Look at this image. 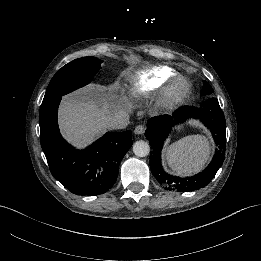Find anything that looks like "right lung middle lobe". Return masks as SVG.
<instances>
[{
	"mask_svg": "<svg viewBox=\"0 0 261 261\" xmlns=\"http://www.w3.org/2000/svg\"><path fill=\"white\" fill-rule=\"evenodd\" d=\"M102 60L95 57H83L63 66L52 78L43 102L63 96L86 84L100 69Z\"/></svg>",
	"mask_w": 261,
	"mask_h": 261,
	"instance_id": "dd1d6c3e",
	"label": "right lung middle lobe"
}]
</instances>
